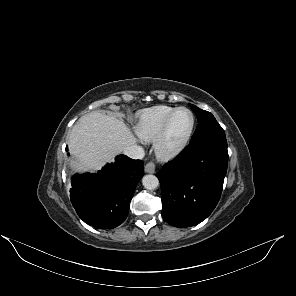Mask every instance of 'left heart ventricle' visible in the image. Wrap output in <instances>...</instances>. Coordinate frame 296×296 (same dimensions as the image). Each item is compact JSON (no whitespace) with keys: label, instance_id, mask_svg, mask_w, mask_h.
Returning a JSON list of instances; mask_svg holds the SVG:
<instances>
[{"label":"left heart ventricle","instance_id":"1","mask_svg":"<svg viewBox=\"0 0 296 296\" xmlns=\"http://www.w3.org/2000/svg\"><path fill=\"white\" fill-rule=\"evenodd\" d=\"M191 122L192 118L189 112H178L170 125L167 137V145L174 146L179 143L188 132Z\"/></svg>","mask_w":296,"mask_h":296}]
</instances>
